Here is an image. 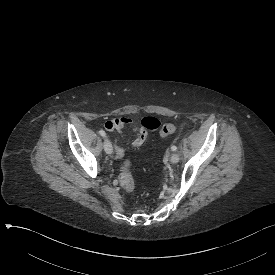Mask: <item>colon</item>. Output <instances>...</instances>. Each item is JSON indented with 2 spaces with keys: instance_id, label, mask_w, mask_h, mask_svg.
<instances>
[{
  "instance_id": "obj_1",
  "label": "colon",
  "mask_w": 275,
  "mask_h": 275,
  "mask_svg": "<svg viewBox=\"0 0 275 275\" xmlns=\"http://www.w3.org/2000/svg\"><path fill=\"white\" fill-rule=\"evenodd\" d=\"M177 127L174 124H165L160 128V133L163 136L171 135L175 133ZM118 182L122 188L127 191H132L135 188V182L133 175L130 171L129 165H124L118 176Z\"/></svg>"
}]
</instances>
